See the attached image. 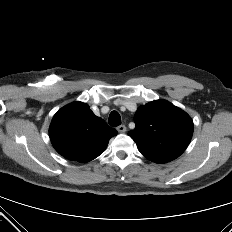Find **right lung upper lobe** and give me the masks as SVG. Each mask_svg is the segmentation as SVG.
Segmentation results:
<instances>
[{
	"mask_svg": "<svg viewBox=\"0 0 232 232\" xmlns=\"http://www.w3.org/2000/svg\"><path fill=\"white\" fill-rule=\"evenodd\" d=\"M49 135L59 154L85 163L98 157L117 131L97 117L87 104L75 102L54 115Z\"/></svg>",
	"mask_w": 232,
	"mask_h": 232,
	"instance_id": "right-lung-upper-lobe-1",
	"label": "right lung upper lobe"
}]
</instances>
